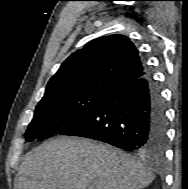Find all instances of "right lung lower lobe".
I'll return each instance as SVG.
<instances>
[{
	"instance_id": "1",
	"label": "right lung lower lobe",
	"mask_w": 188,
	"mask_h": 189,
	"mask_svg": "<svg viewBox=\"0 0 188 189\" xmlns=\"http://www.w3.org/2000/svg\"><path fill=\"white\" fill-rule=\"evenodd\" d=\"M107 94L80 121L60 135L99 140L126 151L162 153L167 121L151 73Z\"/></svg>"
}]
</instances>
